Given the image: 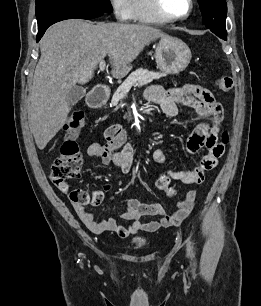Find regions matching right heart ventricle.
<instances>
[{"mask_svg": "<svg viewBox=\"0 0 261 306\" xmlns=\"http://www.w3.org/2000/svg\"><path fill=\"white\" fill-rule=\"evenodd\" d=\"M131 19L142 23H165L163 19L153 12L149 0H131Z\"/></svg>", "mask_w": 261, "mask_h": 306, "instance_id": "e07e8e85", "label": "right heart ventricle"}]
</instances>
